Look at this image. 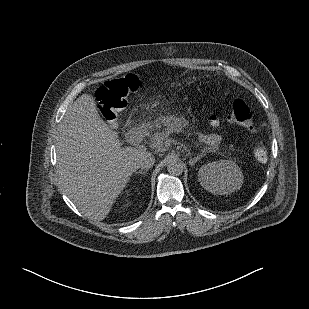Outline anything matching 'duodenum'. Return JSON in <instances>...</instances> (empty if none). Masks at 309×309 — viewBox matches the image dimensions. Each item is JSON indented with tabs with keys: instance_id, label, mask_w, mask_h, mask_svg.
<instances>
[{
	"instance_id": "obj_1",
	"label": "duodenum",
	"mask_w": 309,
	"mask_h": 309,
	"mask_svg": "<svg viewBox=\"0 0 309 309\" xmlns=\"http://www.w3.org/2000/svg\"><path fill=\"white\" fill-rule=\"evenodd\" d=\"M150 127L147 124H138L131 128L129 136L132 142L143 139L149 132Z\"/></svg>"
}]
</instances>
